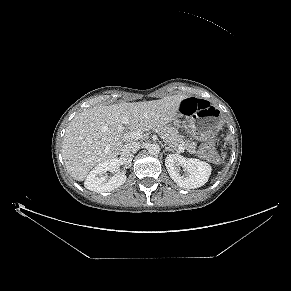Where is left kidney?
Here are the masks:
<instances>
[{"instance_id": "5707ae66", "label": "left kidney", "mask_w": 291, "mask_h": 291, "mask_svg": "<svg viewBox=\"0 0 291 291\" xmlns=\"http://www.w3.org/2000/svg\"><path fill=\"white\" fill-rule=\"evenodd\" d=\"M165 166L171 179L180 187L194 189L203 186L211 175V166L199 159L185 158L179 154H170ZM184 173H180V168Z\"/></svg>"}]
</instances>
